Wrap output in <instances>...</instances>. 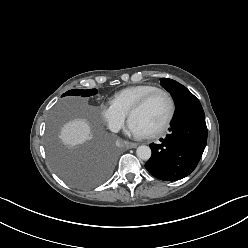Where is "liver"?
Wrapping results in <instances>:
<instances>
[{
    "label": "liver",
    "instance_id": "obj_1",
    "mask_svg": "<svg viewBox=\"0 0 248 248\" xmlns=\"http://www.w3.org/2000/svg\"><path fill=\"white\" fill-rule=\"evenodd\" d=\"M92 137L91 126L86 120L75 119L66 123L60 133L62 142L69 146L84 144Z\"/></svg>",
    "mask_w": 248,
    "mask_h": 248
}]
</instances>
